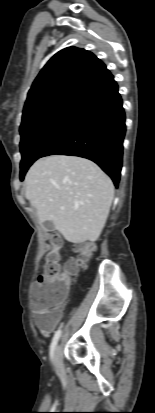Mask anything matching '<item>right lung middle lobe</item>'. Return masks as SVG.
Segmentation results:
<instances>
[{
  "label": "right lung middle lobe",
  "instance_id": "dd1d6c3e",
  "mask_svg": "<svg viewBox=\"0 0 155 413\" xmlns=\"http://www.w3.org/2000/svg\"><path fill=\"white\" fill-rule=\"evenodd\" d=\"M77 107L78 104L59 106L20 126L21 180L32 163L58 139Z\"/></svg>",
  "mask_w": 155,
  "mask_h": 413
}]
</instances>
